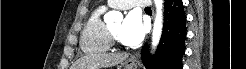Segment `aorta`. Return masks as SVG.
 <instances>
[{
    "instance_id": "aorta-1",
    "label": "aorta",
    "mask_w": 246,
    "mask_h": 69,
    "mask_svg": "<svg viewBox=\"0 0 246 69\" xmlns=\"http://www.w3.org/2000/svg\"><path fill=\"white\" fill-rule=\"evenodd\" d=\"M156 6V17L153 26V33H152V49L155 50L162 33V26H163V0H155ZM122 14L118 11H110L105 15V21H111L116 19H121Z\"/></svg>"
}]
</instances>
